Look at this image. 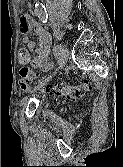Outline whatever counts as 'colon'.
I'll use <instances>...</instances> for the list:
<instances>
[{
  "instance_id": "obj_1",
  "label": "colon",
  "mask_w": 123,
  "mask_h": 167,
  "mask_svg": "<svg viewBox=\"0 0 123 167\" xmlns=\"http://www.w3.org/2000/svg\"><path fill=\"white\" fill-rule=\"evenodd\" d=\"M18 58L19 62L22 64L20 75L23 81L28 83L35 80L37 76L35 71L27 66V63L29 62L28 50L25 48H21L18 52ZM90 88H91V83L89 81H83L72 85L68 84L54 85L50 87L49 90L53 91L57 95L64 98L79 100L85 97Z\"/></svg>"
}]
</instances>
